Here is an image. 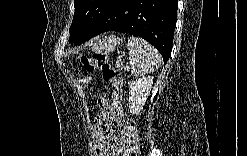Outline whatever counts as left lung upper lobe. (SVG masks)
I'll return each instance as SVG.
<instances>
[{"mask_svg":"<svg viewBox=\"0 0 247 156\" xmlns=\"http://www.w3.org/2000/svg\"><path fill=\"white\" fill-rule=\"evenodd\" d=\"M111 0H74L75 13L70 26V42L80 45L98 19L104 14Z\"/></svg>","mask_w":247,"mask_h":156,"instance_id":"1","label":"left lung upper lobe"}]
</instances>
